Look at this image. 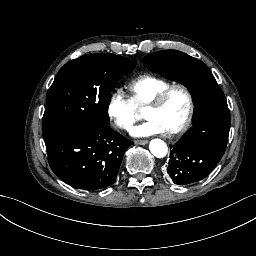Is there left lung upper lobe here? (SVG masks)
<instances>
[{
	"mask_svg": "<svg viewBox=\"0 0 256 256\" xmlns=\"http://www.w3.org/2000/svg\"><path fill=\"white\" fill-rule=\"evenodd\" d=\"M142 62L151 71L186 86L195 105L193 128L170 146L167 172L209 175L225 152L230 129L226 98L215 78L202 61L176 50L149 54Z\"/></svg>",
	"mask_w": 256,
	"mask_h": 256,
	"instance_id": "obj_1",
	"label": "left lung upper lobe"
}]
</instances>
